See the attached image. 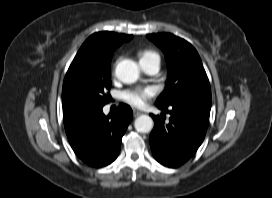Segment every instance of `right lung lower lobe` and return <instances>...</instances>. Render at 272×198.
Returning a JSON list of instances; mask_svg holds the SVG:
<instances>
[{
  "label": "right lung lower lobe",
  "instance_id": "obj_1",
  "mask_svg": "<svg viewBox=\"0 0 272 198\" xmlns=\"http://www.w3.org/2000/svg\"><path fill=\"white\" fill-rule=\"evenodd\" d=\"M102 108H82L64 117L72 149L92 167L106 166L117 158L122 137L133 116L130 106L123 103L107 116Z\"/></svg>",
  "mask_w": 272,
  "mask_h": 198
}]
</instances>
